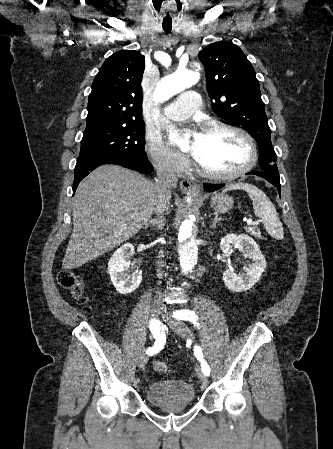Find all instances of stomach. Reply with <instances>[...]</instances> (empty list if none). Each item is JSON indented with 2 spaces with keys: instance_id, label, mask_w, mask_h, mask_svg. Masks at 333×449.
<instances>
[{
  "instance_id": "stomach-1",
  "label": "stomach",
  "mask_w": 333,
  "mask_h": 449,
  "mask_svg": "<svg viewBox=\"0 0 333 449\" xmlns=\"http://www.w3.org/2000/svg\"><path fill=\"white\" fill-rule=\"evenodd\" d=\"M211 206L215 211L225 213L232 208L233 199L223 193H216L211 198Z\"/></svg>"
}]
</instances>
